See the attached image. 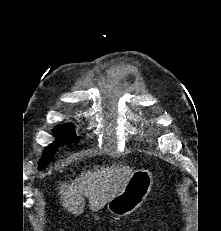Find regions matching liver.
<instances>
[{
  "label": "liver",
  "mask_w": 221,
  "mask_h": 231,
  "mask_svg": "<svg viewBox=\"0 0 221 231\" xmlns=\"http://www.w3.org/2000/svg\"><path fill=\"white\" fill-rule=\"evenodd\" d=\"M133 173L129 166H112L81 174L71 182H61L62 206L78 216L84 211L86 197L90 210L97 212L122 191Z\"/></svg>",
  "instance_id": "6515ba94"
}]
</instances>
